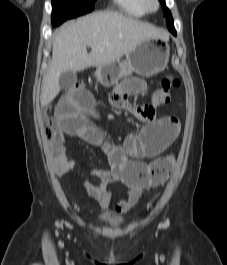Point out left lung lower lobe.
Here are the masks:
<instances>
[{"mask_svg": "<svg viewBox=\"0 0 227 265\" xmlns=\"http://www.w3.org/2000/svg\"><path fill=\"white\" fill-rule=\"evenodd\" d=\"M174 35H176L175 29L170 30Z\"/></svg>", "mask_w": 227, "mask_h": 265, "instance_id": "0a47b994", "label": "left lung lower lobe"}]
</instances>
